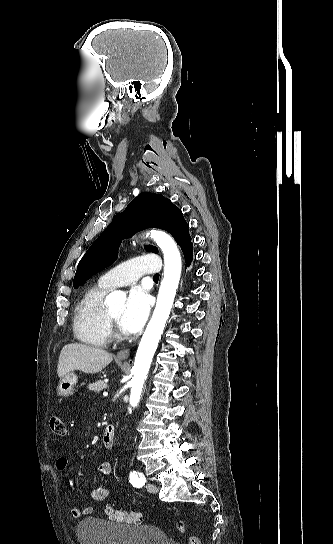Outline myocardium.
<instances>
[{
	"label": "myocardium",
	"instance_id": "1",
	"mask_svg": "<svg viewBox=\"0 0 333 544\" xmlns=\"http://www.w3.org/2000/svg\"><path fill=\"white\" fill-rule=\"evenodd\" d=\"M107 317H108L110 327L113 329L115 336L119 339L124 338L123 332L118 328L117 320L108 311H107Z\"/></svg>",
	"mask_w": 333,
	"mask_h": 544
}]
</instances>
